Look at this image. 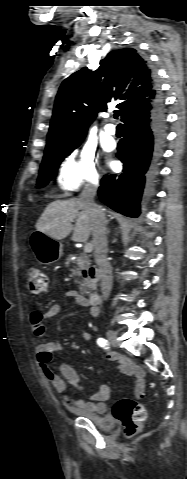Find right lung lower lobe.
<instances>
[{"instance_id": "obj_1", "label": "right lung lower lobe", "mask_w": 187, "mask_h": 479, "mask_svg": "<svg viewBox=\"0 0 187 479\" xmlns=\"http://www.w3.org/2000/svg\"><path fill=\"white\" fill-rule=\"evenodd\" d=\"M123 122L126 136L117 147L123 173L118 177L105 175L98 195L115 211L136 218L143 189L155 175L165 140L166 115L160 94L151 104L129 112Z\"/></svg>"}]
</instances>
